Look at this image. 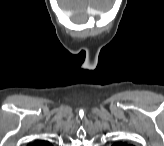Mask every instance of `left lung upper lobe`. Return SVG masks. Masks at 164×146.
Segmentation results:
<instances>
[{
    "label": "left lung upper lobe",
    "mask_w": 164,
    "mask_h": 146,
    "mask_svg": "<svg viewBox=\"0 0 164 146\" xmlns=\"http://www.w3.org/2000/svg\"><path fill=\"white\" fill-rule=\"evenodd\" d=\"M116 146H127L126 143H118Z\"/></svg>",
    "instance_id": "left-lung-upper-lobe-1"
}]
</instances>
